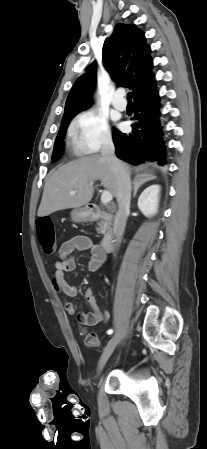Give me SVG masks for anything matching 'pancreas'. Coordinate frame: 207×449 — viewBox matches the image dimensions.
Returning <instances> with one entry per match:
<instances>
[{
  "mask_svg": "<svg viewBox=\"0 0 207 449\" xmlns=\"http://www.w3.org/2000/svg\"><path fill=\"white\" fill-rule=\"evenodd\" d=\"M101 218H104L103 215H101ZM110 224L106 220H101L98 222L97 232L99 234L106 235L110 231Z\"/></svg>",
  "mask_w": 207,
  "mask_h": 449,
  "instance_id": "obj_1",
  "label": "pancreas"
}]
</instances>
